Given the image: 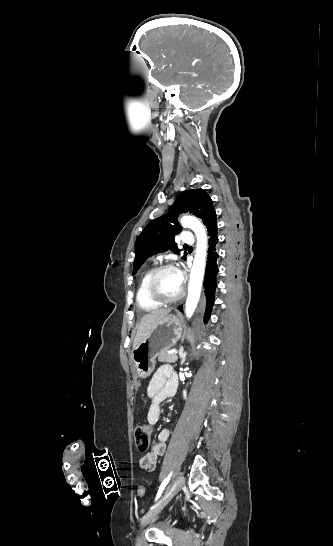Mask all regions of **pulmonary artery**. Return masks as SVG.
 Masks as SVG:
<instances>
[{"label":"pulmonary artery","instance_id":"e3ab8cb5","mask_svg":"<svg viewBox=\"0 0 333 546\" xmlns=\"http://www.w3.org/2000/svg\"><path fill=\"white\" fill-rule=\"evenodd\" d=\"M181 241L183 243L191 244L194 242V236L191 232L185 231L181 234Z\"/></svg>","mask_w":333,"mask_h":546}]
</instances>
